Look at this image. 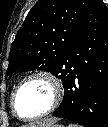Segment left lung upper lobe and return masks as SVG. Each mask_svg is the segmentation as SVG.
Here are the masks:
<instances>
[{
  "label": "left lung upper lobe",
  "instance_id": "1",
  "mask_svg": "<svg viewBox=\"0 0 108 127\" xmlns=\"http://www.w3.org/2000/svg\"><path fill=\"white\" fill-rule=\"evenodd\" d=\"M89 0H40L11 46L7 73L46 70L65 81L64 63Z\"/></svg>",
  "mask_w": 108,
  "mask_h": 127
}]
</instances>
